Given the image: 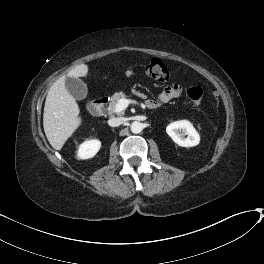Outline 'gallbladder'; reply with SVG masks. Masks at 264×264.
I'll list each match as a JSON object with an SVG mask.
<instances>
[{
  "mask_svg": "<svg viewBox=\"0 0 264 264\" xmlns=\"http://www.w3.org/2000/svg\"><path fill=\"white\" fill-rule=\"evenodd\" d=\"M65 83L67 90L74 99L82 100L86 97L88 89L81 79L67 77Z\"/></svg>",
  "mask_w": 264,
  "mask_h": 264,
  "instance_id": "obj_1",
  "label": "gallbladder"
}]
</instances>
